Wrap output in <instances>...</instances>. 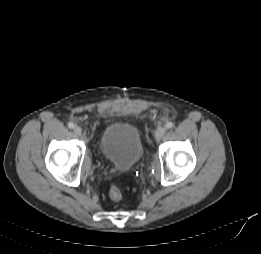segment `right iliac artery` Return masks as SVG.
I'll return each mask as SVG.
<instances>
[{
    "label": "right iliac artery",
    "instance_id": "obj_1",
    "mask_svg": "<svg viewBox=\"0 0 261 254\" xmlns=\"http://www.w3.org/2000/svg\"><path fill=\"white\" fill-rule=\"evenodd\" d=\"M68 127L72 129L74 127V123L73 122H69L68 123Z\"/></svg>",
    "mask_w": 261,
    "mask_h": 254
}]
</instances>
